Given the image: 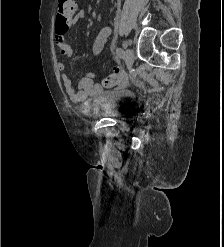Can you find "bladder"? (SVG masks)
<instances>
[{
  "mask_svg": "<svg viewBox=\"0 0 224 247\" xmlns=\"http://www.w3.org/2000/svg\"><path fill=\"white\" fill-rule=\"evenodd\" d=\"M136 95L128 90H107L100 92L95 100V113L98 116L127 119L131 116Z\"/></svg>",
  "mask_w": 224,
  "mask_h": 247,
  "instance_id": "1",
  "label": "bladder"
}]
</instances>
